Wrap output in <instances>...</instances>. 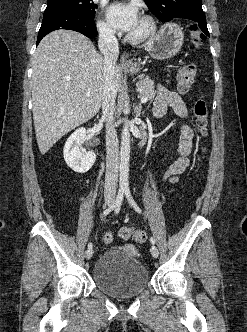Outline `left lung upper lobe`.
I'll list each match as a JSON object with an SVG mask.
<instances>
[{"label":"left lung upper lobe","mask_w":247,"mask_h":332,"mask_svg":"<svg viewBox=\"0 0 247 332\" xmlns=\"http://www.w3.org/2000/svg\"><path fill=\"white\" fill-rule=\"evenodd\" d=\"M149 10L163 22L176 18L205 19L201 0H145Z\"/></svg>","instance_id":"obj_1"}]
</instances>
